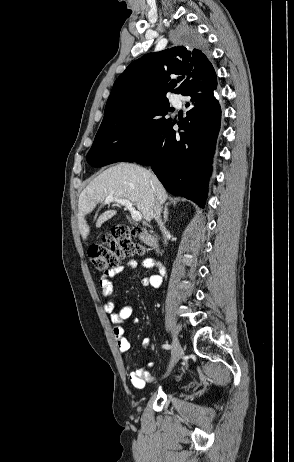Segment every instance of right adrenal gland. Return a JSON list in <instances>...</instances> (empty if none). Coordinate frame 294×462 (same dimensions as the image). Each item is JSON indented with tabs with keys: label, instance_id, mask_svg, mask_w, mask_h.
I'll return each instance as SVG.
<instances>
[{
	"label": "right adrenal gland",
	"instance_id": "obj_1",
	"mask_svg": "<svg viewBox=\"0 0 294 462\" xmlns=\"http://www.w3.org/2000/svg\"><path fill=\"white\" fill-rule=\"evenodd\" d=\"M168 206H169V203H166L165 206H164V213H163L164 221H163V224H166L167 219H168V215H169Z\"/></svg>",
	"mask_w": 294,
	"mask_h": 462
}]
</instances>
